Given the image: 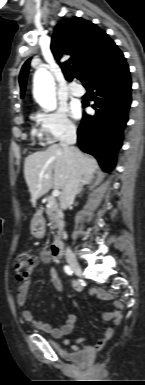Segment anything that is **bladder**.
Wrapping results in <instances>:
<instances>
[{
	"label": "bladder",
	"mask_w": 145,
	"mask_h": 385,
	"mask_svg": "<svg viewBox=\"0 0 145 385\" xmlns=\"http://www.w3.org/2000/svg\"><path fill=\"white\" fill-rule=\"evenodd\" d=\"M78 355H79L81 358L86 359V355H85L84 352L80 351V352H78Z\"/></svg>",
	"instance_id": "obj_1"
}]
</instances>
